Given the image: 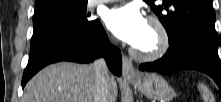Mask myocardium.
Returning <instances> with one entry per match:
<instances>
[{
	"label": "myocardium",
	"instance_id": "f54148a6",
	"mask_svg": "<svg viewBox=\"0 0 221 102\" xmlns=\"http://www.w3.org/2000/svg\"><path fill=\"white\" fill-rule=\"evenodd\" d=\"M148 24L155 30L158 42L154 49L150 51H143L137 47L132 48L134 57L141 61H154L161 58L169 49L170 37L164 24L156 17H150Z\"/></svg>",
	"mask_w": 221,
	"mask_h": 102
}]
</instances>
